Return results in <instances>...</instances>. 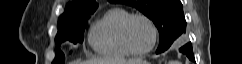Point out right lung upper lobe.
Masks as SVG:
<instances>
[{
  "label": "right lung upper lobe",
  "instance_id": "obj_1",
  "mask_svg": "<svg viewBox=\"0 0 242 64\" xmlns=\"http://www.w3.org/2000/svg\"><path fill=\"white\" fill-rule=\"evenodd\" d=\"M98 7L95 0H75L69 3L65 12L60 16L58 23H68L78 20L84 15L91 14Z\"/></svg>",
  "mask_w": 242,
  "mask_h": 64
}]
</instances>
